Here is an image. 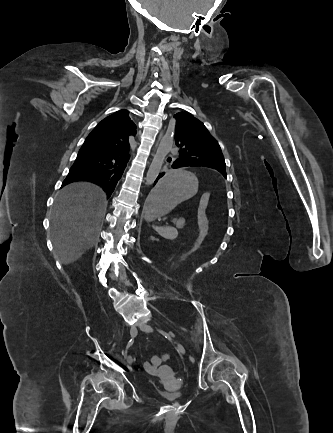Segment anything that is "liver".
Listing matches in <instances>:
<instances>
[{
  "mask_svg": "<svg viewBox=\"0 0 333 433\" xmlns=\"http://www.w3.org/2000/svg\"><path fill=\"white\" fill-rule=\"evenodd\" d=\"M107 204L102 188L89 182L71 183L56 195L51 232L62 264L75 262L97 243Z\"/></svg>",
  "mask_w": 333,
  "mask_h": 433,
  "instance_id": "liver-1",
  "label": "liver"
}]
</instances>
